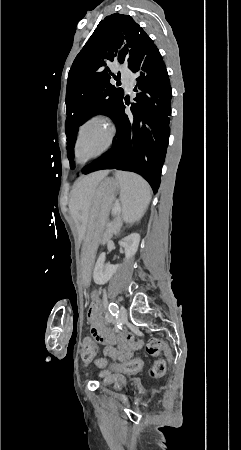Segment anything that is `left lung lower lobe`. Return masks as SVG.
<instances>
[{
    "instance_id": "left-lung-lower-lobe-1",
    "label": "left lung lower lobe",
    "mask_w": 241,
    "mask_h": 450,
    "mask_svg": "<svg viewBox=\"0 0 241 450\" xmlns=\"http://www.w3.org/2000/svg\"><path fill=\"white\" fill-rule=\"evenodd\" d=\"M129 69L137 74L136 87L141 90L134 98L137 103L131 106L134 118L127 117L122 101L113 118L117 133L111 149L86 165L82 173L102 169L135 172L157 192L170 135L172 90L169 76L155 45Z\"/></svg>"
}]
</instances>
